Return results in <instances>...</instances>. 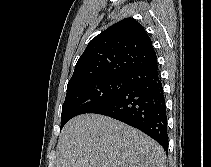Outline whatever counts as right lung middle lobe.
Masks as SVG:
<instances>
[{
  "mask_svg": "<svg viewBox=\"0 0 211 167\" xmlns=\"http://www.w3.org/2000/svg\"><path fill=\"white\" fill-rule=\"evenodd\" d=\"M127 87L126 76H108L67 89L62 106L60 130L71 118L84 113H93L114 100Z\"/></svg>",
  "mask_w": 211,
  "mask_h": 167,
  "instance_id": "dd1d6c3e",
  "label": "right lung middle lobe"
}]
</instances>
